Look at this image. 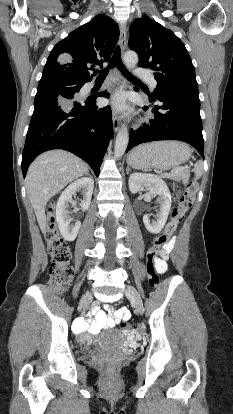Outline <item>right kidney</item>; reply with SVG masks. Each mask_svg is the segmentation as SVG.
Returning <instances> with one entry per match:
<instances>
[{
	"label": "right kidney",
	"mask_w": 233,
	"mask_h": 414,
	"mask_svg": "<svg viewBox=\"0 0 233 414\" xmlns=\"http://www.w3.org/2000/svg\"><path fill=\"white\" fill-rule=\"evenodd\" d=\"M94 188L92 178L83 177L71 183L61 194L56 205V221L62 237L67 241H74L81 227V222L72 223L68 208V203L74 204L72 196L77 190L83 189V200L80 203L83 211L88 210Z\"/></svg>",
	"instance_id": "1"
}]
</instances>
